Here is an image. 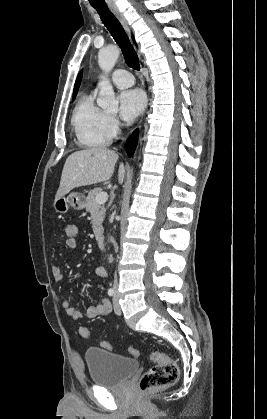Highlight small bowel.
Segmentation results:
<instances>
[{
  "mask_svg": "<svg viewBox=\"0 0 267 419\" xmlns=\"http://www.w3.org/2000/svg\"><path fill=\"white\" fill-rule=\"evenodd\" d=\"M69 250H75L77 245L75 246H68L66 245ZM51 273L53 278L56 282H62L64 279V274L60 267L54 265L51 268ZM95 273L100 277H106V271L103 267L99 266L95 269ZM62 306L65 309L68 316H70L73 320H80L82 318V313L72 305L70 299H64L62 301ZM111 312V305L108 300L104 299L100 303L89 306L86 311V316L90 319L97 318V317H105Z\"/></svg>",
  "mask_w": 267,
  "mask_h": 419,
  "instance_id": "1",
  "label": "small bowel"
}]
</instances>
